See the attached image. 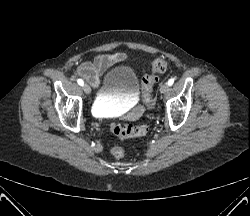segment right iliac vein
Masks as SVG:
<instances>
[{"label": "right iliac vein", "mask_w": 250, "mask_h": 216, "mask_svg": "<svg viewBox=\"0 0 250 216\" xmlns=\"http://www.w3.org/2000/svg\"><path fill=\"white\" fill-rule=\"evenodd\" d=\"M83 90L88 95L91 93V88H90V86L88 84L83 85Z\"/></svg>", "instance_id": "right-iliac-vein-1"}]
</instances>
